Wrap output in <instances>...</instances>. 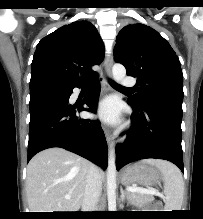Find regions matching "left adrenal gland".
I'll return each mask as SVG.
<instances>
[{
  "mask_svg": "<svg viewBox=\"0 0 203 219\" xmlns=\"http://www.w3.org/2000/svg\"><path fill=\"white\" fill-rule=\"evenodd\" d=\"M120 192H121L120 200L123 202L126 197L128 198V194L126 191L123 190L122 186L120 187Z\"/></svg>",
  "mask_w": 203,
  "mask_h": 219,
  "instance_id": "left-adrenal-gland-1",
  "label": "left adrenal gland"
}]
</instances>
